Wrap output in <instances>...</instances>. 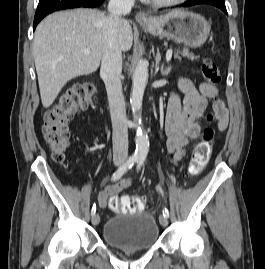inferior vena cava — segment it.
I'll use <instances>...</instances> for the list:
<instances>
[{"mask_svg":"<svg viewBox=\"0 0 265 269\" xmlns=\"http://www.w3.org/2000/svg\"><path fill=\"white\" fill-rule=\"evenodd\" d=\"M134 0H110L109 15L103 26V52L101 77L105 83L113 128V159L126 160L128 157V127L125 100L121 85L122 52L118 41L120 16L127 15Z\"/></svg>","mask_w":265,"mask_h":269,"instance_id":"1","label":"inferior vena cava"}]
</instances>
